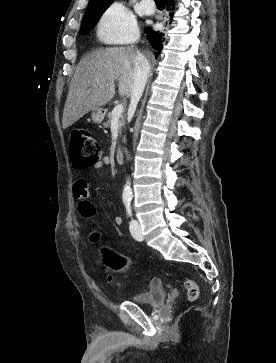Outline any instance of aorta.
Instances as JSON below:
<instances>
[{"label": "aorta", "instance_id": "aorta-1", "mask_svg": "<svg viewBox=\"0 0 276 363\" xmlns=\"http://www.w3.org/2000/svg\"><path fill=\"white\" fill-rule=\"evenodd\" d=\"M131 196H132V190H131V187H130V182L128 180L126 182V185H125L124 189H123L122 197H123V200H130Z\"/></svg>", "mask_w": 276, "mask_h": 363}]
</instances>
